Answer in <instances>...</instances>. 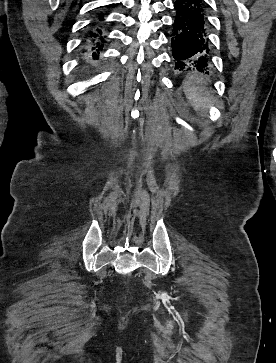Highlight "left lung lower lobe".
Here are the masks:
<instances>
[{"label":"left lung lower lobe","instance_id":"1","mask_svg":"<svg viewBox=\"0 0 276 363\" xmlns=\"http://www.w3.org/2000/svg\"><path fill=\"white\" fill-rule=\"evenodd\" d=\"M172 54L179 71L210 69V40L205 0H174Z\"/></svg>","mask_w":276,"mask_h":363}]
</instances>
